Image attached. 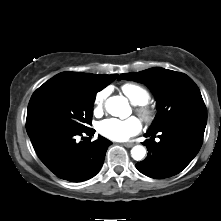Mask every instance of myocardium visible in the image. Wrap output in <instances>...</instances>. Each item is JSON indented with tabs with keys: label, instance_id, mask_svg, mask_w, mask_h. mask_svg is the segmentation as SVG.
Wrapping results in <instances>:
<instances>
[{
	"label": "myocardium",
	"instance_id": "1",
	"mask_svg": "<svg viewBox=\"0 0 221 221\" xmlns=\"http://www.w3.org/2000/svg\"><path fill=\"white\" fill-rule=\"evenodd\" d=\"M136 112L146 123H151L155 118V111L146 104L138 105Z\"/></svg>",
	"mask_w": 221,
	"mask_h": 221
}]
</instances>
